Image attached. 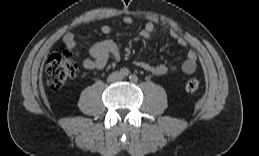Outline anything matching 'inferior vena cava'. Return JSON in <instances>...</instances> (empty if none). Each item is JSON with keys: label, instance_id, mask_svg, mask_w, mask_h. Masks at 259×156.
I'll return each instance as SVG.
<instances>
[{"label": "inferior vena cava", "instance_id": "602c4592", "mask_svg": "<svg viewBox=\"0 0 259 156\" xmlns=\"http://www.w3.org/2000/svg\"><path fill=\"white\" fill-rule=\"evenodd\" d=\"M123 77L119 72H114L109 76V81L121 80Z\"/></svg>", "mask_w": 259, "mask_h": 156}]
</instances>
